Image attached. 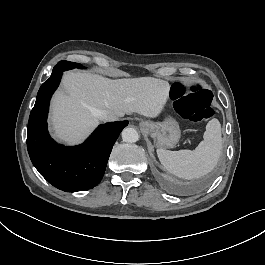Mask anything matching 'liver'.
<instances>
[{
	"instance_id": "obj_1",
	"label": "liver",
	"mask_w": 265,
	"mask_h": 265,
	"mask_svg": "<svg viewBox=\"0 0 265 265\" xmlns=\"http://www.w3.org/2000/svg\"><path fill=\"white\" fill-rule=\"evenodd\" d=\"M52 98L50 122L54 136L68 143H80L107 111L116 117L136 112L156 117L169 98L167 81L153 77L112 80L101 75L68 71Z\"/></svg>"
}]
</instances>
